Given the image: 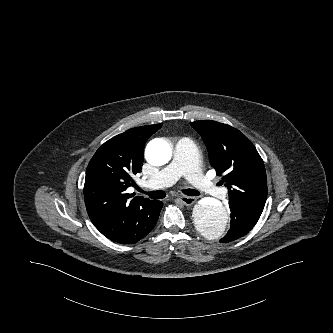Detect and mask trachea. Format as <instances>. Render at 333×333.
Wrapping results in <instances>:
<instances>
[{
    "label": "trachea",
    "instance_id": "1",
    "mask_svg": "<svg viewBox=\"0 0 333 333\" xmlns=\"http://www.w3.org/2000/svg\"><path fill=\"white\" fill-rule=\"evenodd\" d=\"M143 192L142 190H140ZM182 192L188 196H198L200 193L197 190L193 189H183ZM146 194L151 198V199H162L166 196V193L162 190H157V191H151V192H146Z\"/></svg>",
    "mask_w": 333,
    "mask_h": 333
}]
</instances>
